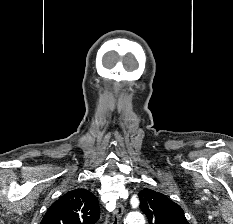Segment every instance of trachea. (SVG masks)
Segmentation results:
<instances>
[{
  "instance_id": "obj_1",
  "label": "trachea",
  "mask_w": 233,
  "mask_h": 224,
  "mask_svg": "<svg viewBox=\"0 0 233 224\" xmlns=\"http://www.w3.org/2000/svg\"><path fill=\"white\" fill-rule=\"evenodd\" d=\"M114 224H117L116 220H115Z\"/></svg>"
}]
</instances>
